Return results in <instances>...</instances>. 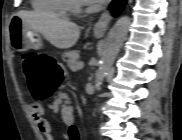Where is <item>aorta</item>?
Masks as SVG:
<instances>
[{"instance_id":"obj_1","label":"aorta","mask_w":182,"mask_h":140,"mask_svg":"<svg viewBox=\"0 0 182 140\" xmlns=\"http://www.w3.org/2000/svg\"><path fill=\"white\" fill-rule=\"evenodd\" d=\"M130 24V18L128 16H123L117 20L110 30L102 49V63L95 78L96 86H98L103 81L107 71L113 65L120 48L126 39Z\"/></svg>"}]
</instances>
